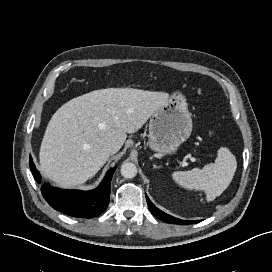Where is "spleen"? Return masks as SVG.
<instances>
[{
	"label": "spleen",
	"mask_w": 272,
	"mask_h": 272,
	"mask_svg": "<svg viewBox=\"0 0 272 272\" xmlns=\"http://www.w3.org/2000/svg\"><path fill=\"white\" fill-rule=\"evenodd\" d=\"M237 168L235 156L226 147L218 150L215 163L207 164L203 169L173 172V180L187 189L203 190L207 201L220 196L231 183Z\"/></svg>",
	"instance_id": "obj_1"
}]
</instances>
